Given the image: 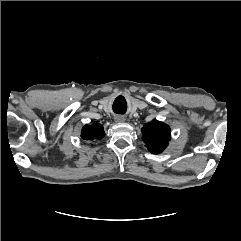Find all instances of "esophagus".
<instances>
[{
    "instance_id": "1",
    "label": "esophagus",
    "mask_w": 241,
    "mask_h": 241,
    "mask_svg": "<svg viewBox=\"0 0 241 241\" xmlns=\"http://www.w3.org/2000/svg\"><path fill=\"white\" fill-rule=\"evenodd\" d=\"M115 119H116L117 122H123L124 121V118L121 117V116H117Z\"/></svg>"
}]
</instances>
